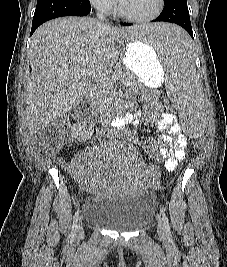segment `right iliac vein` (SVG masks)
<instances>
[{
  "mask_svg": "<svg viewBox=\"0 0 227 267\" xmlns=\"http://www.w3.org/2000/svg\"><path fill=\"white\" fill-rule=\"evenodd\" d=\"M84 236V229H83V224L82 221H80V223L77 226V230H76V237L77 239H81Z\"/></svg>",
  "mask_w": 227,
  "mask_h": 267,
  "instance_id": "obj_1",
  "label": "right iliac vein"
}]
</instances>
